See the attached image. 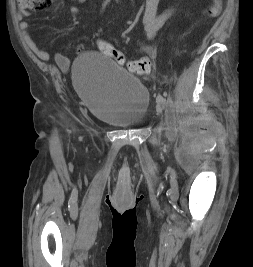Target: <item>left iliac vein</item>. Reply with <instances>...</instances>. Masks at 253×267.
I'll return each instance as SVG.
<instances>
[{
  "label": "left iliac vein",
  "mask_w": 253,
  "mask_h": 267,
  "mask_svg": "<svg viewBox=\"0 0 253 267\" xmlns=\"http://www.w3.org/2000/svg\"><path fill=\"white\" fill-rule=\"evenodd\" d=\"M156 110H157L158 114L162 113V107H161V105L159 103H158V105L156 107Z\"/></svg>",
  "instance_id": "4c4485c4"
}]
</instances>
